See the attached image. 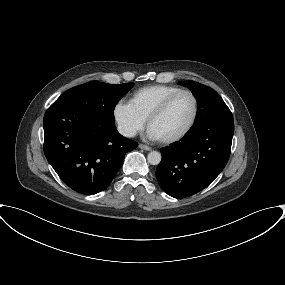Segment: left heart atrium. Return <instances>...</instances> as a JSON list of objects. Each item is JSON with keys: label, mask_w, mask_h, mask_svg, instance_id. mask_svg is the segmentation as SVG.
<instances>
[{"label": "left heart atrium", "mask_w": 285, "mask_h": 285, "mask_svg": "<svg viewBox=\"0 0 285 285\" xmlns=\"http://www.w3.org/2000/svg\"><path fill=\"white\" fill-rule=\"evenodd\" d=\"M147 136H148V138L151 139V140H158V139L155 137V135H154L150 130H148Z\"/></svg>", "instance_id": "left-heart-atrium-1"}]
</instances>
